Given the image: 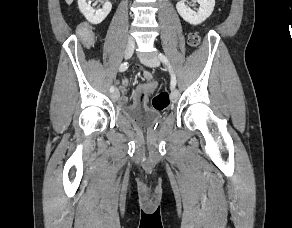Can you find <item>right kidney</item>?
I'll return each instance as SVG.
<instances>
[{"instance_id":"ca27d5eb","label":"right kidney","mask_w":292,"mask_h":228,"mask_svg":"<svg viewBox=\"0 0 292 228\" xmlns=\"http://www.w3.org/2000/svg\"><path fill=\"white\" fill-rule=\"evenodd\" d=\"M80 12L94 25L100 24L110 13L112 4L106 1L102 9L95 10L91 6V0H78Z\"/></svg>"}]
</instances>
